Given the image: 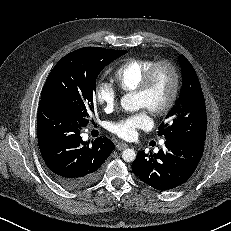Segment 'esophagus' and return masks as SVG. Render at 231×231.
<instances>
[{
  "instance_id": "esophagus-1",
  "label": "esophagus",
  "mask_w": 231,
  "mask_h": 231,
  "mask_svg": "<svg viewBox=\"0 0 231 231\" xmlns=\"http://www.w3.org/2000/svg\"><path fill=\"white\" fill-rule=\"evenodd\" d=\"M128 147V145L126 144V143H124V142H119L117 145H116V149L117 150H124L125 148H127Z\"/></svg>"
}]
</instances>
